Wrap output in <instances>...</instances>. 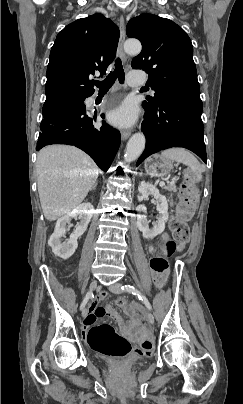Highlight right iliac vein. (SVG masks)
Returning a JSON list of instances; mask_svg holds the SVG:
<instances>
[{
  "mask_svg": "<svg viewBox=\"0 0 243 404\" xmlns=\"http://www.w3.org/2000/svg\"><path fill=\"white\" fill-rule=\"evenodd\" d=\"M96 287H97V281L94 280V281L91 282V284H90V286H89V289H90V291H92V290H94ZM87 314H88L87 308H83V310H82V316H83V317H86Z\"/></svg>",
  "mask_w": 243,
  "mask_h": 404,
  "instance_id": "63e3f726",
  "label": "right iliac vein"
}]
</instances>
